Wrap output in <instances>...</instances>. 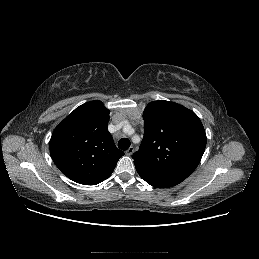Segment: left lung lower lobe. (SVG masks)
Returning a JSON list of instances; mask_svg holds the SVG:
<instances>
[{
    "instance_id": "0a47b994",
    "label": "left lung lower lobe",
    "mask_w": 259,
    "mask_h": 259,
    "mask_svg": "<svg viewBox=\"0 0 259 259\" xmlns=\"http://www.w3.org/2000/svg\"><path fill=\"white\" fill-rule=\"evenodd\" d=\"M134 164L140 177L153 187L167 188L175 186L183 181L182 179L153 170L146 165L139 163Z\"/></svg>"
}]
</instances>
